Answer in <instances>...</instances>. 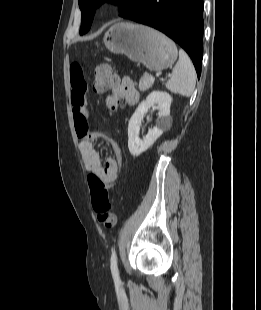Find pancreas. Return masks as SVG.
<instances>
[{"label":"pancreas","instance_id":"cf45deb5","mask_svg":"<svg viewBox=\"0 0 261 310\" xmlns=\"http://www.w3.org/2000/svg\"><path fill=\"white\" fill-rule=\"evenodd\" d=\"M153 83H154V78L150 74L145 73L143 77L140 79L139 90L144 92L147 89L151 88Z\"/></svg>","mask_w":261,"mask_h":310}]
</instances>
